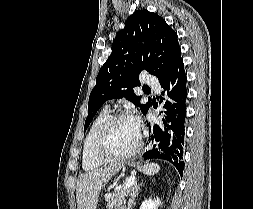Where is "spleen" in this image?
Returning a JSON list of instances; mask_svg holds the SVG:
<instances>
[{"label": "spleen", "instance_id": "spleen-1", "mask_svg": "<svg viewBox=\"0 0 253 209\" xmlns=\"http://www.w3.org/2000/svg\"><path fill=\"white\" fill-rule=\"evenodd\" d=\"M159 170H160L159 165L155 163L146 164L144 167L141 168V171L146 175L157 174Z\"/></svg>", "mask_w": 253, "mask_h": 209}]
</instances>
